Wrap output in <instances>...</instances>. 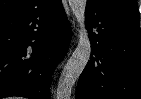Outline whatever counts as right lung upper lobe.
I'll list each match as a JSON object with an SVG mask.
<instances>
[{"label":"right lung upper lobe","mask_w":141,"mask_h":99,"mask_svg":"<svg viewBox=\"0 0 141 99\" xmlns=\"http://www.w3.org/2000/svg\"><path fill=\"white\" fill-rule=\"evenodd\" d=\"M43 1L45 0H0V17L21 10L34 8Z\"/></svg>","instance_id":"right-lung-upper-lobe-1"}]
</instances>
